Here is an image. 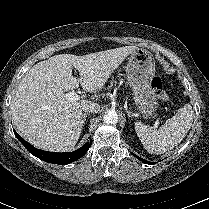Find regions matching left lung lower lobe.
Returning a JSON list of instances; mask_svg holds the SVG:
<instances>
[{"instance_id": "1", "label": "left lung lower lobe", "mask_w": 209, "mask_h": 209, "mask_svg": "<svg viewBox=\"0 0 209 209\" xmlns=\"http://www.w3.org/2000/svg\"><path fill=\"white\" fill-rule=\"evenodd\" d=\"M134 155V154H133ZM135 157H137L138 159H140L142 162H144L145 164H155V163H151V162H149V161H146V160H144V159H142V158H140V157H138V156H136V155H134Z\"/></svg>"}]
</instances>
